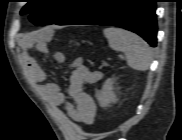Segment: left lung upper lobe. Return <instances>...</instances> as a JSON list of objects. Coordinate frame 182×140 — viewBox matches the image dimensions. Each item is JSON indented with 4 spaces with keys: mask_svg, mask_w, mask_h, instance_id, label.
<instances>
[{
    "mask_svg": "<svg viewBox=\"0 0 182 140\" xmlns=\"http://www.w3.org/2000/svg\"><path fill=\"white\" fill-rule=\"evenodd\" d=\"M101 0H28L20 14H31L36 25H69L91 11Z\"/></svg>",
    "mask_w": 182,
    "mask_h": 140,
    "instance_id": "left-lung-upper-lobe-1",
    "label": "left lung upper lobe"
}]
</instances>
